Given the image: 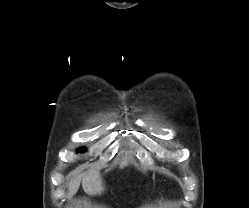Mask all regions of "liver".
I'll return each instance as SVG.
<instances>
[{"label":"liver","instance_id":"6515ba94","mask_svg":"<svg viewBox=\"0 0 249 208\" xmlns=\"http://www.w3.org/2000/svg\"><path fill=\"white\" fill-rule=\"evenodd\" d=\"M82 183L83 190L89 195L101 194L103 191L102 180L98 169H89L86 172L74 175L68 182V195H75Z\"/></svg>","mask_w":249,"mask_h":208}]
</instances>
